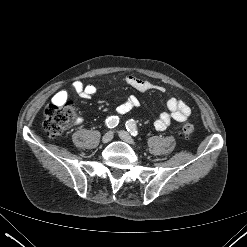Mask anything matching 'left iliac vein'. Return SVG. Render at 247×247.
Wrapping results in <instances>:
<instances>
[{
  "instance_id": "4c4485c4",
  "label": "left iliac vein",
  "mask_w": 247,
  "mask_h": 247,
  "mask_svg": "<svg viewBox=\"0 0 247 247\" xmlns=\"http://www.w3.org/2000/svg\"><path fill=\"white\" fill-rule=\"evenodd\" d=\"M119 137L125 141L126 143L130 144V145H135L134 140L132 139V137L126 132V131H119L118 132Z\"/></svg>"
}]
</instances>
